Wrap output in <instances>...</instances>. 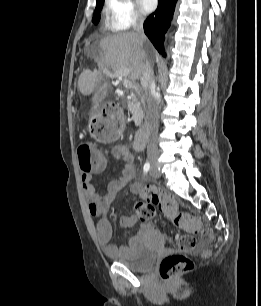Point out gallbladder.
I'll list each match as a JSON object with an SVG mask.
<instances>
[{
    "label": "gallbladder",
    "instance_id": "obj_1",
    "mask_svg": "<svg viewBox=\"0 0 261 306\" xmlns=\"http://www.w3.org/2000/svg\"><path fill=\"white\" fill-rule=\"evenodd\" d=\"M107 93V87L105 85H100L95 96L94 101L97 102L105 97Z\"/></svg>",
    "mask_w": 261,
    "mask_h": 306
}]
</instances>
